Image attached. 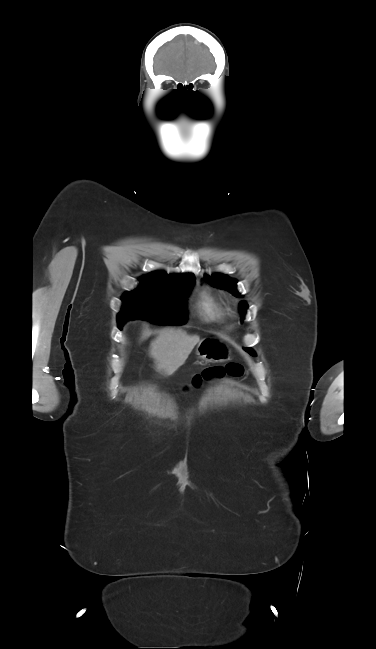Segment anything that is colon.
<instances>
[{
  "mask_svg": "<svg viewBox=\"0 0 376 649\" xmlns=\"http://www.w3.org/2000/svg\"><path fill=\"white\" fill-rule=\"evenodd\" d=\"M244 374V368L239 363H229L225 366L209 367L197 373L192 378L191 382L186 386L187 389L198 388L204 382L230 376L233 378H241Z\"/></svg>",
  "mask_w": 376,
  "mask_h": 649,
  "instance_id": "1",
  "label": "colon"
}]
</instances>
